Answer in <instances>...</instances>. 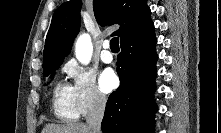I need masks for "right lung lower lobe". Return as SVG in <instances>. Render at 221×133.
<instances>
[{
	"label": "right lung lower lobe",
	"instance_id": "obj_1",
	"mask_svg": "<svg viewBox=\"0 0 221 133\" xmlns=\"http://www.w3.org/2000/svg\"><path fill=\"white\" fill-rule=\"evenodd\" d=\"M157 40L154 31L121 43L117 59L119 88L107 101L101 124L103 133H151L157 106L155 89Z\"/></svg>",
	"mask_w": 221,
	"mask_h": 133
}]
</instances>
